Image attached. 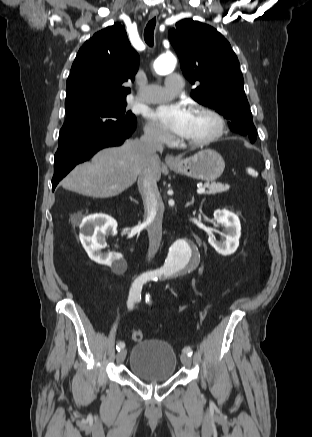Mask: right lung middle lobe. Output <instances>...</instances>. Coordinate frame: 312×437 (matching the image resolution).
I'll return each mask as SVG.
<instances>
[{"instance_id":"dd1d6c3e","label":"right lung middle lobe","mask_w":312,"mask_h":437,"mask_svg":"<svg viewBox=\"0 0 312 437\" xmlns=\"http://www.w3.org/2000/svg\"><path fill=\"white\" fill-rule=\"evenodd\" d=\"M125 107L126 101L88 102L65 107L66 121L60 130L58 147L134 126L136 118L130 111L126 112Z\"/></svg>"}]
</instances>
